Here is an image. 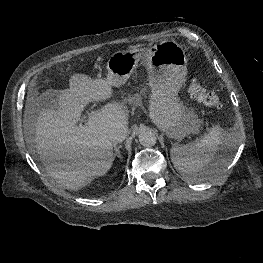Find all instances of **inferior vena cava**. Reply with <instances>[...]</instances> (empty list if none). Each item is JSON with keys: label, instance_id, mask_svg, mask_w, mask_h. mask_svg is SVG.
Returning a JSON list of instances; mask_svg holds the SVG:
<instances>
[{"label": "inferior vena cava", "instance_id": "inferior-vena-cava-1", "mask_svg": "<svg viewBox=\"0 0 263 263\" xmlns=\"http://www.w3.org/2000/svg\"><path fill=\"white\" fill-rule=\"evenodd\" d=\"M128 130L125 127L113 128L109 133L110 140L116 144L124 141L126 139Z\"/></svg>", "mask_w": 263, "mask_h": 263}]
</instances>
